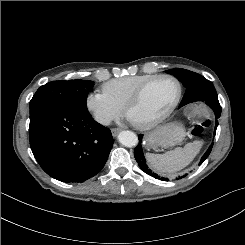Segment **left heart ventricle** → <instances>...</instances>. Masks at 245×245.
<instances>
[{
  "label": "left heart ventricle",
  "mask_w": 245,
  "mask_h": 245,
  "mask_svg": "<svg viewBox=\"0 0 245 245\" xmlns=\"http://www.w3.org/2000/svg\"><path fill=\"white\" fill-rule=\"evenodd\" d=\"M177 84L169 79H162L150 84L141 100L129 111V118L135 124H146L163 115L174 102Z\"/></svg>",
  "instance_id": "obj_1"
}]
</instances>
